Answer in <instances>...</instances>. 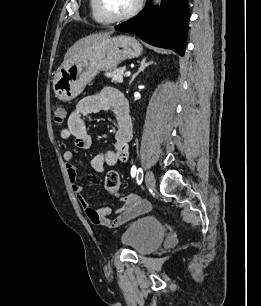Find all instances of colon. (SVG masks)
<instances>
[{"label":"colon","mask_w":261,"mask_h":306,"mask_svg":"<svg viewBox=\"0 0 261 306\" xmlns=\"http://www.w3.org/2000/svg\"><path fill=\"white\" fill-rule=\"evenodd\" d=\"M54 121L57 125L64 122L66 118V110L61 104H55L53 106ZM106 190L114 195L118 196L120 191V176L116 170H111L105 177Z\"/></svg>","instance_id":"colon-1"}]
</instances>
